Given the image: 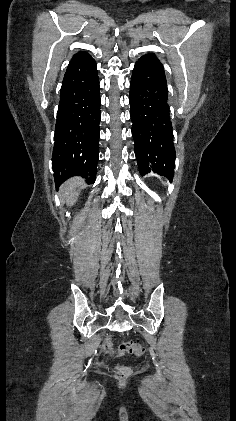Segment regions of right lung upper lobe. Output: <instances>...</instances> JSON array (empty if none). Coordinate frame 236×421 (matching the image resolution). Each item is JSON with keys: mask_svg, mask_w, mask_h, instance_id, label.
<instances>
[{"mask_svg": "<svg viewBox=\"0 0 236 421\" xmlns=\"http://www.w3.org/2000/svg\"><path fill=\"white\" fill-rule=\"evenodd\" d=\"M84 55H87V53H86V52H78L77 54H75V55L73 56V58H72V59H74V58H78V57H81V56H84Z\"/></svg>", "mask_w": 236, "mask_h": 421, "instance_id": "1", "label": "right lung upper lobe"}]
</instances>
